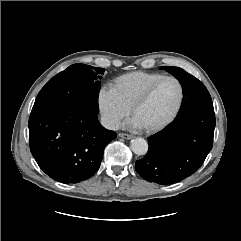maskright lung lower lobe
<instances>
[{
  "label": "right lung lower lobe",
  "instance_id": "1",
  "mask_svg": "<svg viewBox=\"0 0 241 241\" xmlns=\"http://www.w3.org/2000/svg\"><path fill=\"white\" fill-rule=\"evenodd\" d=\"M116 132L105 129L82 107L65 106L31 112L30 151L39 167L61 183H78L99 169L105 146Z\"/></svg>",
  "mask_w": 241,
  "mask_h": 241
}]
</instances>
